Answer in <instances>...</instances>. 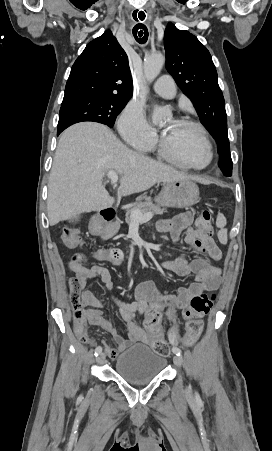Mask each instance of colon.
<instances>
[{"mask_svg":"<svg viewBox=\"0 0 272 451\" xmlns=\"http://www.w3.org/2000/svg\"><path fill=\"white\" fill-rule=\"evenodd\" d=\"M212 215L210 211L204 210L201 212L199 217L196 220L197 226L200 228V238L207 239L205 246L208 250L216 249V246L209 240L213 233V225L211 223ZM62 240L66 243L67 250H79L80 249V229L76 225H67L62 230ZM98 254L102 253L101 249L97 250ZM107 256L112 259L114 262H120L123 259V253L119 249H110L106 252ZM69 264L71 265L73 270H78L79 265L83 264L86 260L85 253L81 251L73 252L70 257ZM116 264V263H115ZM216 301L215 294H203L197 295L193 297L190 301V304L183 311V317L188 321V335L189 337H195L199 334L202 328V317L207 314L214 302ZM76 317L79 319V313L76 314ZM78 336L84 342H88V337L85 335V332H82V327L77 325L76 327ZM172 346L177 344L175 339L170 341ZM186 346H192L194 341L192 339H186L184 341ZM149 348H153L154 352L159 356H166L169 354V339L163 338H155L149 339L148 341Z\"/></svg>","mask_w":272,"mask_h":451,"instance_id":"obj_1","label":"colon"}]
</instances>
